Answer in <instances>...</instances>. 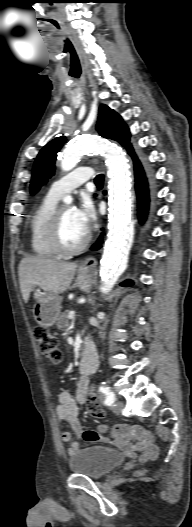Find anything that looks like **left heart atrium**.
Returning a JSON list of instances; mask_svg holds the SVG:
<instances>
[{"instance_id":"1","label":"left heart atrium","mask_w":192,"mask_h":527,"mask_svg":"<svg viewBox=\"0 0 192 527\" xmlns=\"http://www.w3.org/2000/svg\"><path fill=\"white\" fill-rule=\"evenodd\" d=\"M74 211L79 224L86 232H89L95 220V212L91 204L89 202H84L80 208L75 209Z\"/></svg>"}]
</instances>
